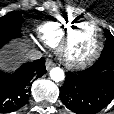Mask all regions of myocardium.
<instances>
[{"instance_id": "1", "label": "myocardium", "mask_w": 114, "mask_h": 114, "mask_svg": "<svg viewBox=\"0 0 114 114\" xmlns=\"http://www.w3.org/2000/svg\"><path fill=\"white\" fill-rule=\"evenodd\" d=\"M84 24H91L97 32V44L88 55L75 58L69 54V48L77 30ZM103 48V34L99 25L93 20H82L75 23L63 36L57 49V53L62 62L71 68H82L94 62L101 53Z\"/></svg>"}]
</instances>
